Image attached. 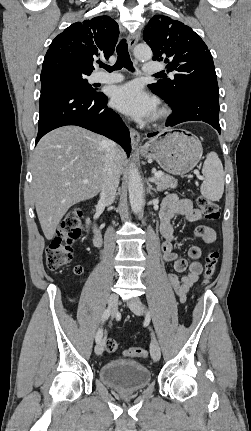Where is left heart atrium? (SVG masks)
Wrapping results in <instances>:
<instances>
[{"instance_id": "left-heart-atrium-1", "label": "left heart atrium", "mask_w": 251, "mask_h": 431, "mask_svg": "<svg viewBox=\"0 0 251 431\" xmlns=\"http://www.w3.org/2000/svg\"><path fill=\"white\" fill-rule=\"evenodd\" d=\"M111 103L117 110L143 120L151 117L156 111V101L144 92L135 82L116 87L113 90Z\"/></svg>"}]
</instances>
